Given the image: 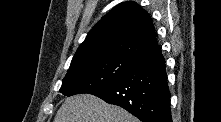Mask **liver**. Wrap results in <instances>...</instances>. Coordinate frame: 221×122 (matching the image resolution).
Returning a JSON list of instances; mask_svg holds the SVG:
<instances>
[{
	"mask_svg": "<svg viewBox=\"0 0 221 122\" xmlns=\"http://www.w3.org/2000/svg\"><path fill=\"white\" fill-rule=\"evenodd\" d=\"M54 122H138V119L119 106L81 94L65 99Z\"/></svg>",
	"mask_w": 221,
	"mask_h": 122,
	"instance_id": "obj_1",
	"label": "liver"
}]
</instances>
